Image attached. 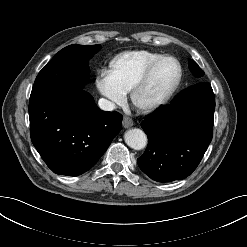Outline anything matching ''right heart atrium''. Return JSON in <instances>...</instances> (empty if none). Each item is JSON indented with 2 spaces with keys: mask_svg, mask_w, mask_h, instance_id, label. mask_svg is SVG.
<instances>
[{
  "mask_svg": "<svg viewBox=\"0 0 247 247\" xmlns=\"http://www.w3.org/2000/svg\"><path fill=\"white\" fill-rule=\"evenodd\" d=\"M96 87L99 93L105 97L110 104H120L125 101L126 92L116 84L108 70H99L96 77Z\"/></svg>",
  "mask_w": 247,
  "mask_h": 247,
  "instance_id": "right-heart-atrium-1",
  "label": "right heart atrium"
}]
</instances>
